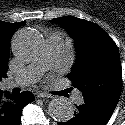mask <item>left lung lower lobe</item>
Segmentation results:
<instances>
[{
	"mask_svg": "<svg viewBox=\"0 0 125 125\" xmlns=\"http://www.w3.org/2000/svg\"><path fill=\"white\" fill-rule=\"evenodd\" d=\"M115 106L83 103L77 106L74 116L58 125H105L113 114Z\"/></svg>",
	"mask_w": 125,
	"mask_h": 125,
	"instance_id": "left-lung-lower-lobe-1",
	"label": "left lung lower lobe"
}]
</instances>
